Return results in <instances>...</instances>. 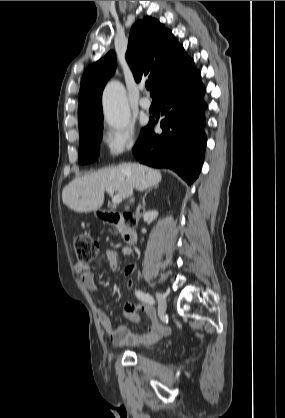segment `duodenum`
Returning <instances> with one entry per match:
<instances>
[{"label": "duodenum", "mask_w": 285, "mask_h": 418, "mask_svg": "<svg viewBox=\"0 0 285 418\" xmlns=\"http://www.w3.org/2000/svg\"><path fill=\"white\" fill-rule=\"evenodd\" d=\"M96 214L105 222L113 224L119 229L122 233L123 240L125 242V246L123 248L124 255H130L132 252V248L137 240L136 232L129 228L122 226V215L118 212L112 210H101L96 209Z\"/></svg>", "instance_id": "duodenum-1"}]
</instances>
